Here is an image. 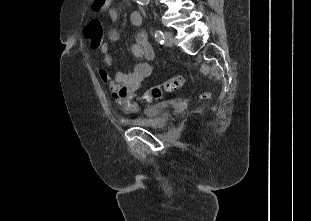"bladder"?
<instances>
[{
  "label": "bladder",
  "instance_id": "31cf9c89",
  "mask_svg": "<svg viewBox=\"0 0 311 221\" xmlns=\"http://www.w3.org/2000/svg\"><path fill=\"white\" fill-rule=\"evenodd\" d=\"M168 101L154 103L151 108H143V115L147 117L141 118H129L126 120V124L134 128H147L150 130H164L170 122V115L166 109Z\"/></svg>",
  "mask_w": 311,
  "mask_h": 221
}]
</instances>
